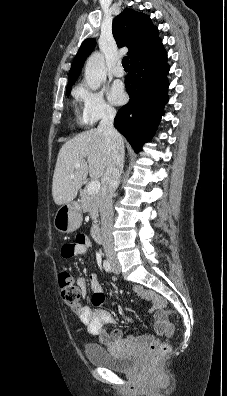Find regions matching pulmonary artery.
Returning <instances> with one entry per match:
<instances>
[{
    "instance_id": "e3ab8cb5",
    "label": "pulmonary artery",
    "mask_w": 227,
    "mask_h": 396,
    "mask_svg": "<svg viewBox=\"0 0 227 396\" xmlns=\"http://www.w3.org/2000/svg\"><path fill=\"white\" fill-rule=\"evenodd\" d=\"M112 73L114 76L116 77H122L124 75V69L122 68V66L117 65L116 67H114V69L112 70Z\"/></svg>"
}]
</instances>
